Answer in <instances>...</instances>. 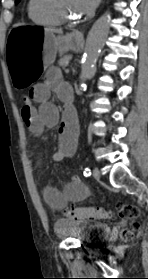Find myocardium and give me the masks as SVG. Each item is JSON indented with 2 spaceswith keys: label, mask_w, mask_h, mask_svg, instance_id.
<instances>
[{
  "label": "myocardium",
  "mask_w": 148,
  "mask_h": 279,
  "mask_svg": "<svg viewBox=\"0 0 148 279\" xmlns=\"http://www.w3.org/2000/svg\"><path fill=\"white\" fill-rule=\"evenodd\" d=\"M47 10L60 22L72 23L75 22L78 18L75 16L68 15L61 8L59 0H44Z\"/></svg>",
  "instance_id": "f54148a6"
}]
</instances>
